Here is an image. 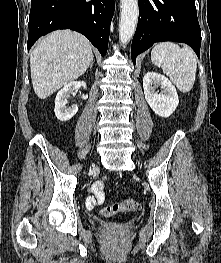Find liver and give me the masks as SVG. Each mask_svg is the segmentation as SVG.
Instances as JSON below:
<instances>
[{
    "label": "liver",
    "instance_id": "6515ba94",
    "mask_svg": "<svg viewBox=\"0 0 221 263\" xmlns=\"http://www.w3.org/2000/svg\"><path fill=\"white\" fill-rule=\"evenodd\" d=\"M93 60L88 39L71 30H58L39 41L30 54L34 92L45 99L82 76Z\"/></svg>",
    "mask_w": 221,
    "mask_h": 263
}]
</instances>
